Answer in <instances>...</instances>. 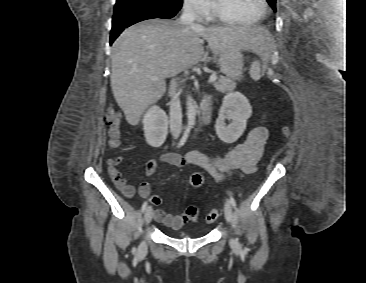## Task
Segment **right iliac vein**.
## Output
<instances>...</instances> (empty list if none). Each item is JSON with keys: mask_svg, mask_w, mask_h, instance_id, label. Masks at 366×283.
<instances>
[{"mask_svg": "<svg viewBox=\"0 0 366 283\" xmlns=\"http://www.w3.org/2000/svg\"><path fill=\"white\" fill-rule=\"evenodd\" d=\"M153 218V209L151 207H148L145 211V222L146 224L150 223ZM147 246L146 243L143 241L139 246V251L144 252L146 250Z\"/></svg>", "mask_w": 366, "mask_h": 283, "instance_id": "1", "label": "right iliac vein"}]
</instances>
